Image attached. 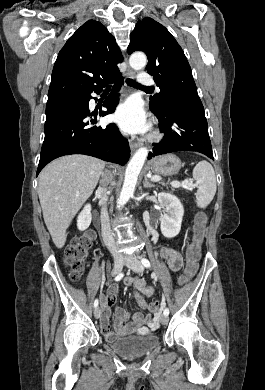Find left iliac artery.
<instances>
[{"instance_id": "1", "label": "left iliac artery", "mask_w": 265, "mask_h": 390, "mask_svg": "<svg viewBox=\"0 0 265 390\" xmlns=\"http://www.w3.org/2000/svg\"><path fill=\"white\" fill-rule=\"evenodd\" d=\"M141 262H142V264H143L145 267H147V268L150 267V262H149L148 259L142 258V259H141ZM163 314L168 316V315H169V309L166 308V309L164 310Z\"/></svg>"}]
</instances>
